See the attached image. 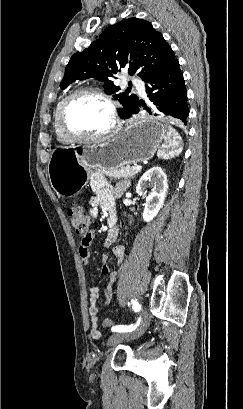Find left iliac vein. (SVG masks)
<instances>
[{
  "instance_id": "obj_1",
  "label": "left iliac vein",
  "mask_w": 243,
  "mask_h": 409,
  "mask_svg": "<svg viewBox=\"0 0 243 409\" xmlns=\"http://www.w3.org/2000/svg\"><path fill=\"white\" fill-rule=\"evenodd\" d=\"M150 319L147 310L143 312L142 321L140 325L131 332H118L110 336L108 346H115L123 341H130L139 338L149 326Z\"/></svg>"
}]
</instances>
